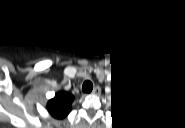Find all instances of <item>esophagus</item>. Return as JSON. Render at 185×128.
<instances>
[{"mask_svg":"<svg viewBox=\"0 0 185 128\" xmlns=\"http://www.w3.org/2000/svg\"><path fill=\"white\" fill-rule=\"evenodd\" d=\"M98 90V88H95V90L94 91H97Z\"/></svg>","mask_w":185,"mask_h":128,"instance_id":"1","label":"esophagus"}]
</instances>
